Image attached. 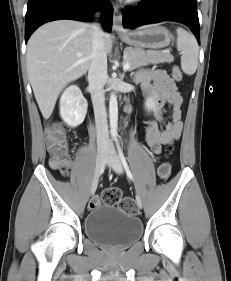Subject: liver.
I'll use <instances>...</instances> for the list:
<instances>
[{"label": "liver", "instance_id": "6515ba94", "mask_svg": "<svg viewBox=\"0 0 231 281\" xmlns=\"http://www.w3.org/2000/svg\"><path fill=\"white\" fill-rule=\"evenodd\" d=\"M106 54L112 38L104 33ZM92 27L87 23L60 20L37 29L27 45V71L39 109L48 119L61 90L84 75L91 64Z\"/></svg>", "mask_w": 231, "mask_h": 281}]
</instances>
